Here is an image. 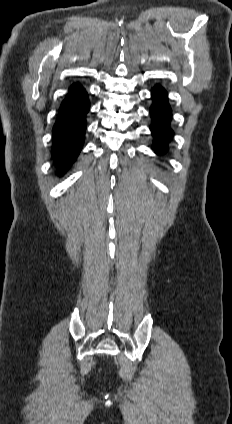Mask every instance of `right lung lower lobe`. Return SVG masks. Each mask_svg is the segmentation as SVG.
Returning <instances> with one entry per match:
<instances>
[{
    "label": "right lung lower lobe",
    "mask_w": 232,
    "mask_h": 424,
    "mask_svg": "<svg viewBox=\"0 0 232 424\" xmlns=\"http://www.w3.org/2000/svg\"><path fill=\"white\" fill-rule=\"evenodd\" d=\"M89 111L86 91L79 84L72 85L63 100L53 128L52 156L63 174L77 158L84 143L85 116Z\"/></svg>",
    "instance_id": "1"
}]
</instances>
